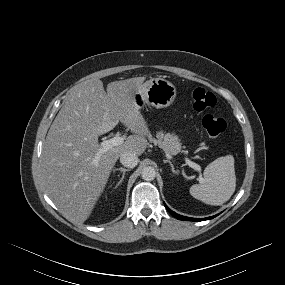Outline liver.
<instances>
[{"mask_svg": "<svg viewBox=\"0 0 285 285\" xmlns=\"http://www.w3.org/2000/svg\"><path fill=\"white\" fill-rule=\"evenodd\" d=\"M144 80L114 81L105 92L101 80L88 79L70 89L54 119L43 146L41 178L48 196L69 221L88 219L122 153L145 151L150 132L134 99ZM119 121L134 134L98 155L99 136Z\"/></svg>", "mask_w": 285, "mask_h": 285, "instance_id": "liver-1", "label": "liver"}]
</instances>
